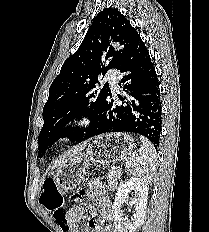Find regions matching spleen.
I'll use <instances>...</instances> for the list:
<instances>
[{"label": "spleen", "instance_id": "1", "mask_svg": "<svg viewBox=\"0 0 209 232\" xmlns=\"http://www.w3.org/2000/svg\"><path fill=\"white\" fill-rule=\"evenodd\" d=\"M142 145L138 153L132 154L126 160V168L133 175L151 182L157 169V154L154 146L145 137H140Z\"/></svg>", "mask_w": 209, "mask_h": 232}]
</instances>
